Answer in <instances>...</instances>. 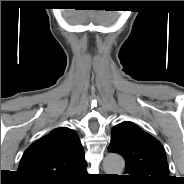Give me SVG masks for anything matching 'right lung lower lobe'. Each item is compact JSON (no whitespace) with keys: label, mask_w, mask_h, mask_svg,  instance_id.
Returning a JSON list of instances; mask_svg holds the SVG:
<instances>
[{"label":"right lung lower lobe","mask_w":184,"mask_h":184,"mask_svg":"<svg viewBox=\"0 0 184 184\" xmlns=\"http://www.w3.org/2000/svg\"><path fill=\"white\" fill-rule=\"evenodd\" d=\"M85 172H86V169L81 174H85ZM72 182H76V179H73V180L68 181V182H62V183H72Z\"/></svg>","instance_id":"obj_1"}]
</instances>
